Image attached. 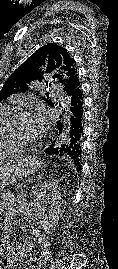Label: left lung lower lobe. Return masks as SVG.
<instances>
[{"label":"left lung lower lobe","mask_w":118,"mask_h":269,"mask_svg":"<svg viewBox=\"0 0 118 269\" xmlns=\"http://www.w3.org/2000/svg\"><path fill=\"white\" fill-rule=\"evenodd\" d=\"M67 93V115L64 122H62L63 116H60L61 121L57 123L61 137L58 143L47 148L45 153L66 156L73 161L79 170L81 168L80 157L82 153L81 143L83 133V96L81 86L79 85L76 89Z\"/></svg>","instance_id":"1"}]
</instances>
